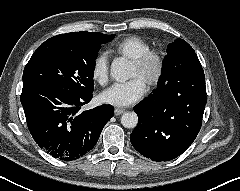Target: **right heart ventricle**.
Here are the masks:
<instances>
[{"instance_id":"right-heart-ventricle-1","label":"right heart ventricle","mask_w":240,"mask_h":191,"mask_svg":"<svg viewBox=\"0 0 240 191\" xmlns=\"http://www.w3.org/2000/svg\"><path fill=\"white\" fill-rule=\"evenodd\" d=\"M151 49L150 44L143 38L138 36H128L112 47V51L120 56L134 60Z\"/></svg>"}]
</instances>
